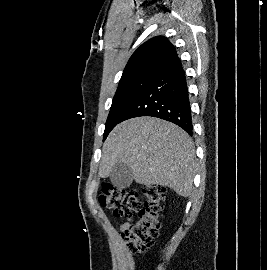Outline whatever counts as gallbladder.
<instances>
[{"instance_id":"obj_1","label":"gallbladder","mask_w":267,"mask_h":270,"mask_svg":"<svg viewBox=\"0 0 267 270\" xmlns=\"http://www.w3.org/2000/svg\"><path fill=\"white\" fill-rule=\"evenodd\" d=\"M110 180L117 188L129 187L133 182L131 168L123 163L115 164L110 173Z\"/></svg>"}]
</instances>
